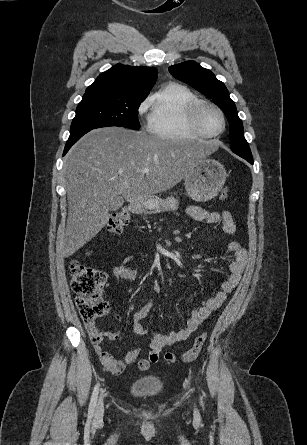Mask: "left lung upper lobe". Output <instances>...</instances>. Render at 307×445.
I'll use <instances>...</instances> for the list:
<instances>
[{
    "label": "left lung upper lobe",
    "instance_id": "left-lung-upper-lobe-1",
    "mask_svg": "<svg viewBox=\"0 0 307 445\" xmlns=\"http://www.w3.org/2000/svg\"><path fill=\"white\" fill-rule=\"evenodd\" d=\"M169 72L177 79L211 98L223 110L230 123L229 134L232 151L237 155L252 156L244 137L242 121L238 117L236 106L229 97V92L224 83L219 81L210 70L202 68L194 61H186L171 66Z\"/></svg>",
    "mask_w": 307,
    "mask_h": 445
}]
</instances>
